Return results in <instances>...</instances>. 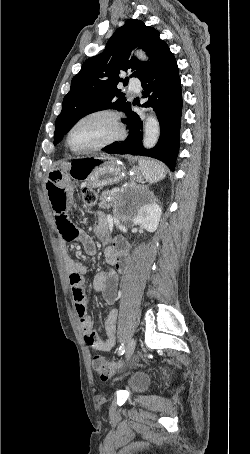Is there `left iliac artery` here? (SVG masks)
I'll return each instance as SVG.
<instances>
[{
	"label": "left iliac artery",
	"instance_id": "44dca946",
	"mask_svg": "<svg viewBox=\"0 0 250 454\" xmlns=\"http://www.w3.org/2000/svg\"><path fill=\"white\" fill-rule=\"evenodd\" d=\"M124 352H125V346L122 343L119 347L118 355H123Z\"/></svg>",
	"mask_w": 250,
	"mask_h": 454
}]
</instances>
